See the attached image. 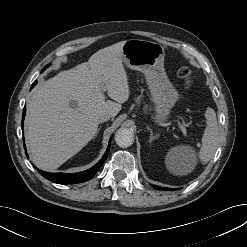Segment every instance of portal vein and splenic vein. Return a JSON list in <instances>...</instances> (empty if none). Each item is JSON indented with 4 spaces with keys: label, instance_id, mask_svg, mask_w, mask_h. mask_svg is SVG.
Instances as JSON below:
<instances>
[{
    "label": "portal vein and splenic vein",
    "instance_id": "1",
    "mask_svg": "<svg viewBox=\"0 0 247 247\" xmlns=\"http://www.w3.org/2000/svg\"><path fill=\"white\" fill-rule=\"evenodd\" d=\"M178 125L181 129V131L185 134L186 133V128H185V125H183L182 123L178 122Z\"/></svg>",
    "mask_w": 247,
    "mask_h": 247
}]
</instances>
